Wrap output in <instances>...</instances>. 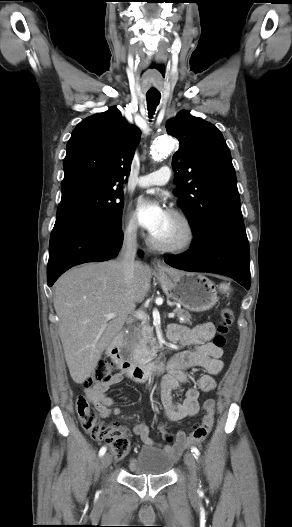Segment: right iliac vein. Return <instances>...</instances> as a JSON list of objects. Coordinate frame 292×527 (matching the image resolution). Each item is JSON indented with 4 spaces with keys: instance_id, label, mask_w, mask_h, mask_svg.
<instances>
[{
    "instance_id": "obj_1",
    "label": "right iliac vein",
    "mask_w": 292,
    "mask_h": 527,
    "mask_svg": "<svg viewBox=\"0 0 292 527\" xmlns=\"http://www.w3.org/2000/svg\"><path fill=\"white\" fill-rule=\"evenodd\" d=\"M111 464V456L109 454H105L101 459V466L103 469H106Z\"/></svg>"
}]
</instances>
